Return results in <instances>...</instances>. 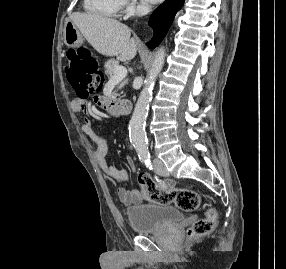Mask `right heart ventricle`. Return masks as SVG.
<instances>
[{
  "instance_id": "e07e8e85",
  "label": "right heart ventricle",
  "mask_w": 286,
  "mask_h": 269,
  "mask_svg": "<svg viewBox=\"0 0 286 269\" xmlns=\"http://www.w3.org/2000/svg\"><path fill=\"white\" fill-rule=\"evenodd\" d=\"M125 5V0H83L84 10L95 17L117 18Z\"/></svg>"
}]
</instances>
